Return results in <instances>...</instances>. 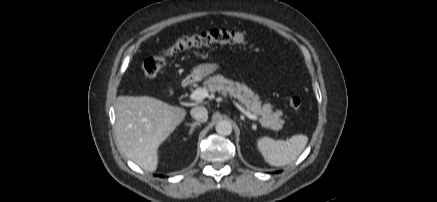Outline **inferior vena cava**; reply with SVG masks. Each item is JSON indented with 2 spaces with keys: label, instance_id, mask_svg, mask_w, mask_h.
Listing matches in <instances>:
<instances>
[{
  "label": "inferior vena cava",
  "instance_id": "obj_1",
  "mask_svg": "<svg viewBox=\"0 0 437 202\" xmlns=\"http://www.w3.org/2000/svg\"><path fill=\"white\" fill-rule=\"evenodd\" d=\"M190 114L194 119L200 122H206L208 119V111L203 106H197L192 108Z\"/></svg>",
  "mask_w": 437,
  "mask_h": 202
}]
</instances>
